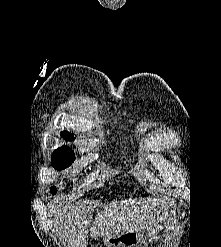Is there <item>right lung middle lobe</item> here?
I'll list each match as a JSON object with an SVG mask.
<instances>
[{
  "instance_id": "obj_1",
  "label": "right lung middle lobe",
  "mask_w": 221,
  "mask_h": 247,
  "mask_svg": "<svg viewBox=\"0 0 221 247\" xmlns=\"http://www.w3.org/2000/svg\"><path fill=\"white\" fill-rule=\"evenodd\" d=\"M65 140L72 141L74 138L63 136ZM75 160V155L68 146H62L56 149L52 154V164L57 170H62L70 166ZM50 193L55 195L57 193L56 187H51Z\"/></svg>"
}]
</instances>
